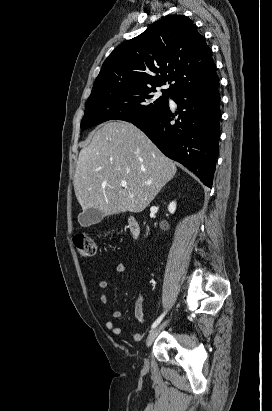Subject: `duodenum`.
Returning a JSON list of instances; mask_svg holds the SVG:
<instances>
[{
  "label": "duodenum",
  "instance_id": "obj_1",
  "mask_svg": "<svg viewBox=\"0 0 272 411\" xmlns=\"http://www.w3.org/2000/svg\"><path fill=\"white\" fill-rule=\"evenodd\" d=\"M128 229L133 237H138L141 232L139 221L134 217L130 218L128 221Z\"/></svg>",
  "mask_w": 272,
  "mask_h": 411
}]
</instances>
